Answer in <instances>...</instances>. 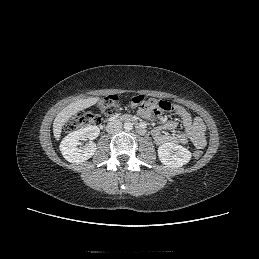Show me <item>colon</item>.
I'll return each mask as SVG.
<instances>
[{
  "instance_id": "5ec220e1",
  "label": "colon",
  "mask_w": 259,
  "mask_h": 259,
  "mask_svg": "<svg viewBox=\"0 0 259 259\" xmlns=\"http://www.w3.org/2000/svg\"><path fill=\"white\" fill-rule=\"evenodd\" d=\"M132 106H138L139 109L149 112L150 114H158L162 111L174 110L177 105L166 100L145 99L142 95H135L130 101ZM119 99L115 95L102 98L97 107L101 115L91 112H79L72 116L64 125L65 132H73L83 127L98 125L103 117H112L118 110ZM201 150H196L193 155L196 159L202 156Z\"/></svg>"
}]
</instances>
